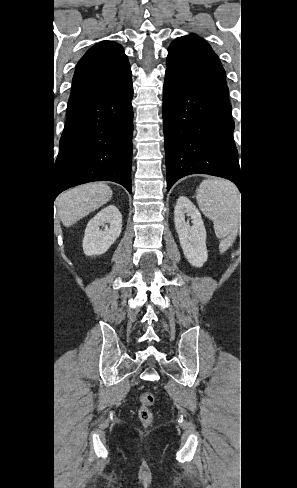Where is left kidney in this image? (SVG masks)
<instances>
[{"label":"left kidney","mask_w":297,"mask_h":488,"mask_svg":"<svg viewBox=\"0 0 297 488\" xmlns=\"http://www.w3.org/2000/svg\"><path fill=\"white\" fill-rule=\"evenodd\" d=\"M185 214L191 217L192 225L185 221ZM174 222L186 259L192 266H203L208 258L206 230L200 212L185 196L177 200Z\"/></svg>","instance_id":"1"}]
</instances>
